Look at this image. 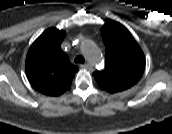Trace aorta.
<instances>
[{"label": "aorta", "mask_w": 172, "mask_h": 134, "mask_svg": "<svg viewBox=\"0 0 172 134\" xmlns=\"http://www.w3.org/2000/svg\"><path fill=\"white\" fill-rule=\"evenodd\" d=\"M83 51L88 58V60L94 66H100L102 63V54L97 45L92 41H85L83 43Z\"/></svg>", "instance_id": "obj_1"}]
</instances>
